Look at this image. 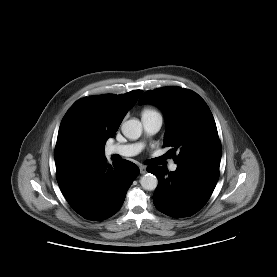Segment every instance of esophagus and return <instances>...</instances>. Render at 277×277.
<instances>
[{
    "label": "esophagus",
    "instance_id": "34e87169",
    "mask_svg": "<svg viewBox=\"0 0 277 277\" xmlns=\"http://www.w3.org/2000/svg\"><path fill=\"white\" fill-rule=\"evenodd\" d=\"M146 172H147V167L144 166V165H141V166H140V173H141V174H145Z\"/></svg>",
    "mask_w": 277,
    "mask_h": 277
}]
</instances>
